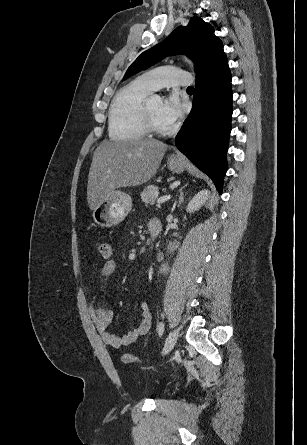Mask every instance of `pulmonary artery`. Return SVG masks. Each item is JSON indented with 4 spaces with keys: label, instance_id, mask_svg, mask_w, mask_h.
I'll return each mask as SVG.
<instances>
[{
    "label": "pulmonary artery",
    "instance_id": "e3ab8cb5",
    "mask_svg": "<svg viewBox=\"0 0 307 445\" xmlns=\"http://www.w3.org/2000/svg\"><path fill=\"white\" fill-rule=\"evenodd\" d=\"M143 80L157 89L162 85H173V84H191L193 78L188 75L187 69H179L177 67L169 66L165 69H147L142 73Z\"/></svg>",
    "mask_w": 307,
    "mask_h": 445
}]
</instances>
